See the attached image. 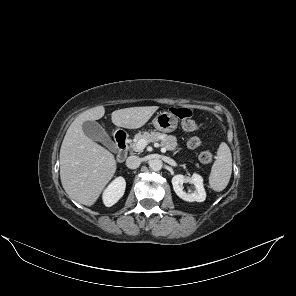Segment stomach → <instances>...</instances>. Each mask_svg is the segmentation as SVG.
<instances>
[{
  "instance_id": "1",
  "label": "stomach",
  "mask_w": 296,
  "mask_h": 296,
  "mask_svg": "<svg viewBox=\"0 0 296 296\" xmlns=\"http://www.w3.org/2000/svg\"><path fill=\"white\" fill-rule=\"evenodd\" d=\"M156 130L163 133L173 132L178 125L177 117L171 112H160L152 121Z\"/></svg>"
}]
</instances>
